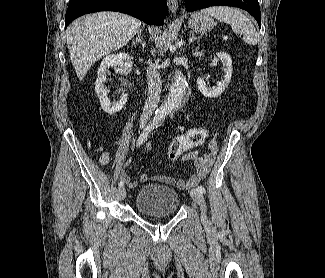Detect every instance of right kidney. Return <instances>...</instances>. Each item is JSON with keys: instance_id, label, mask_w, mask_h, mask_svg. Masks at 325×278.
I'll use <instances>...</instances> for the list:
<instances>
[{"instance_id": "obj_1", "label": "right kidney", "mask_w": 325, "mask_h": 278, "mask_svg": "<svg viewBox=\"0 0 325 278\" xmlns=\"http://www.w3.org/2000/svg\"><path fill=\"white\" fill-rule=\"evenodd\" d=\"M131 56L127 53H117L106 56L98 68V77L95 82V91L98 94V98L102 109L113 115L119 112L127 102V94H122L120 100L116 103H111L107 96V90L104 86V82L107 80L106 72L111 67H120L124 69H130L133 65Z\"/></svg>"}]
</instances>
